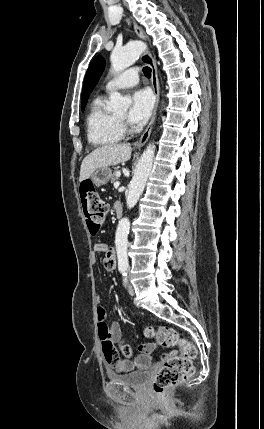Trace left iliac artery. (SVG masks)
Listing matches in <instances>:
<instances>
[{
  "label": "left iliac artery",
  "instance_id": "left-iliac-artery-1",
  "mask_svg": "<svg viewBox=\"0 0 264 429\" xmlns=\"http://www.w3.org/2000/svg\"><path fill=\"white\" fill-rule=\"evenodd\" d=\"M123 275H124V283H126L127 282V278H126L127 273H123Z\"/></svg>",
  "mask_w": 264,
  "mask_h": 429
}]
</instances>
